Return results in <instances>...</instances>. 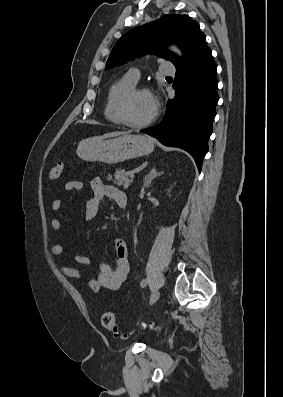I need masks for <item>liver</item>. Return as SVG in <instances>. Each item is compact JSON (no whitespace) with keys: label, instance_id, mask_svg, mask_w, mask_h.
I'll return each instance as SVG.
<instances>
[{"label":"liver","instance_id":"liver-1","mask_svg":"<svg viewBox=\"0 0 283 397\" xmlns=\"http://www.w3.org/2000/svg\"><path fill=\"white\" fill-rule=\"evenodd\" d=\"M127 134L126 132H111V133H107L104 134L103 136L97 137L96 139H105V138H110V137H115V136H119V135H125Z\"/></svg>","mask_w":283,"mask_h":397}]
</instances>
